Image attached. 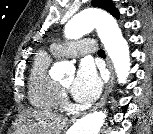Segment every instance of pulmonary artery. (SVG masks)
I'll return each mask as SVG.
<instances>
[{"instance_id": "obj_1", "label": "pulmonary artery", "mask_w": 153, "mask_h": 134, "mask_svg": "<svg viewBox=\"0 0 153 134\" xmlns=\"http://www.w3.org/2000/svg\"><path fill=\"white\" fill-rule=\"evenodd\" d=\"M51 51L57 57H80L88 53H94L96 47L92 39L86 38L64 44H53L51 46Z\"/></svg>"}]
</instances>
